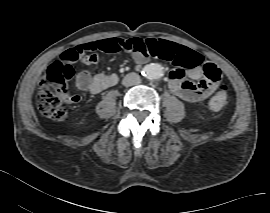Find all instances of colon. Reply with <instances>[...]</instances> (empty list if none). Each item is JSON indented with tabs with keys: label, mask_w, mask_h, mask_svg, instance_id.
<instances>
[{
	"label": "colon",
	"mask_w": 270,
	"mask_h": 213,
	"mask_svg": "<svg viewBox=\"0 0 270 213\" xmlns=\"http://www.w3.org/2000/svg\"><path fill=\"white\" fill-rule=\"evenodd\" d=\"M151 48H153V44L142 38L114 39L110 42L109 51L128 50L135 54L149 56ZM81 54L80 47H71L61 54V61H55L47 67L45 74L39 81L37 94V107L43 116L61 121L67 114L64 104L78 99L77 96L70 94L68 83L74 76L72 63L76 62ZM202 69L204 75L214 84L220 81V72L214 64L207 62L203 64ZM228 91L227 84L223 83L219 86L209 103L213 111H220L226 107L229 101Z\"/></svg>",
	"instance_id": "5ec220e1"
}]
</instances>
